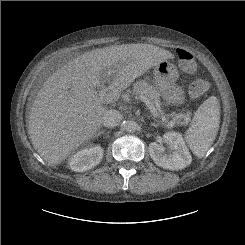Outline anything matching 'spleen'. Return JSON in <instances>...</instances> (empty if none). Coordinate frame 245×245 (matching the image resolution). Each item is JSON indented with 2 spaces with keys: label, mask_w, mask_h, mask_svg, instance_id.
<instances>
[{
  "label": "spleen",
  "mask_w": 245,
  "mask_h": 245,
  "mask_svg": "<svg viewBox=\"0 0 245 245\" xmlns=\"http://www.w3.org/2000/svg\"><path fill=\"white\" fill-rule=\"evenodd\" d=\"M220 123V105L215 96L204 101L193 118V124L185 132V140L197 157H203L213 144Z\"/></svg>",
  "instance_id": "1"
}]
</instances>
